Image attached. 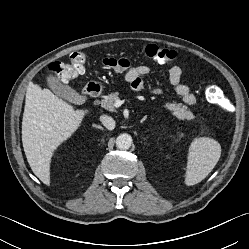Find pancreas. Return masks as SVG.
<instances>
[{
	"instance_id": "pancreas-1",
	"label": "pancreas",
	"mask_w": 249,
	"mask_h": 249,
	"mask_svg": "<svg viewBox=\"0 0 249 249\" xmlns=\"http://www.w3.org/2000/svg\"><path fill=\"white\" fill-rule=\"evenodd\" d=\"M119 99V93H111L101 101V106L107 110H115V102ZM165 108L172 112V114L179 120H192L194 118L193 113L189 108L182 104L177 103H166Z\"/></svg>"
}]
</instances>
